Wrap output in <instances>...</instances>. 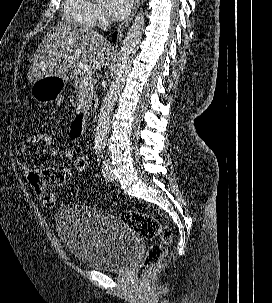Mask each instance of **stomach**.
Returning a JSON list of instances; mask_svg holds the SVG:
<instances>
[{
  "label": "stomach",
  "mask_w": 272,
  "mask_h": 303,
  "mask_svg": "<svg viewBox=\"0 0 272 303\" xmlns=\"http://www.w3.org/2000/svg\"><path fill=\"white\" fill-rule=\"evenodd\" d=\"M66 84L65 77H45L32 84V97L40 103L57 100Z\"/></svg>",
  "instance_id": "stomach-1"
}]
</instances>
